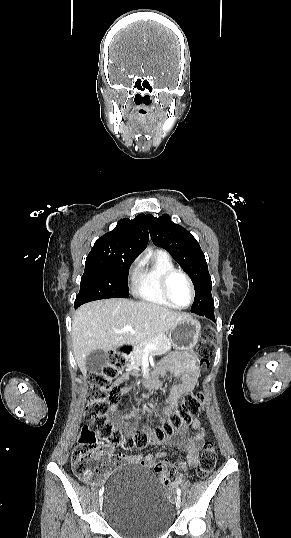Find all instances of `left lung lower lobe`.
<instances>
[{
    "mask_svg": "<svg viewBox=\"0 0 291 538\" xmlns=\"http://www.w3.org/2000/svg\"><path fill=\"white\" fill-rule=\"evenodd\" d=\"M191 312L205 316L207 318H210L211 320H215L214 318V305L204 308H196L195 310H191Z\"/></svg>",
    "mask_w": 291,
    "mask_h": 538,
    "instance_id": "obj_1",
    "label": "left lung lower lobe"
}]
</instances>
